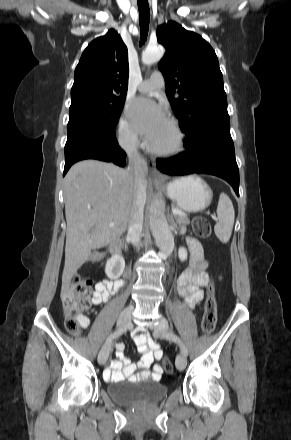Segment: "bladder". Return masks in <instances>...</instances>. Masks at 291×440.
<instances>
[{
	"label": "bladder",
	"instance_id": "bladder-1",
	"mask_svg": "<svg viewBox=\"0 0 291 440\" xmlns=\"http://www.w3.org/2000/svg\"><path fill=\"white\" fill-rule=\"evenodd\" d=\"M167 387L155 382L120 380L108 385V394L123 405L148 404L161 401Z\"/></svg>",
	"mask_w": 291,
	"mask_h": 440
}]
</instances>
